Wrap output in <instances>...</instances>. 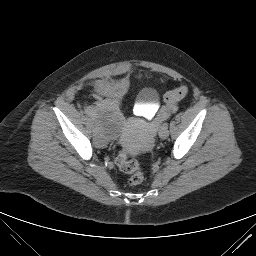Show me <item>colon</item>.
I'll use <instances>...</instances> for the list:
<instances>
[{
	"label": "colon",
	"mask_w": 256,
	"mask_h": 256,
	"mask_svg": "<svg viewBox=\"0 0 256 256\" xmlns=\"http://www.w3.org/2000/svg\"><path fill=\"white\" fill-rule=\"evenodd\" d=\"M188 94V87L185 85H181L176 89H173L167 92L164 96V101L167 105L172 106L179 100L183 99ZM116 163L120 170L125 173L131 174L128 184L130 186H136L142 183L144 180L143 172L139 166V164L130 159L125 151H119L116 157Z\"/></svg>",
	"instance_id": "1"
}]
</instances>
